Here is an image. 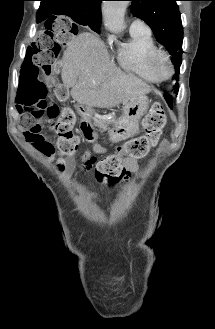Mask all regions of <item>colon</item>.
<instances>
[{
    "label": "colon",
    "instance_id": "obj_1",
    "mask_svg": "<svg viewBox=\"0 0 215 329\" xmlns=\"http://www.w3.org/2000/svg\"><path fill=\"white\" fill-rule=\"evenodd\" d=\"M44 24L36 25V31H32V38L37 39L28 48L27 55L18 56V61L23 62L20 68L22 73H38L22 74V81H17L20 91L18 108L22 119L33 120L32 127H22L35 134L36 146L43 153H51L54 146L41 138L42 127L35 121L43 117L53 121V129L58 137L57 148L61 154L56 167L63 171L67 166L66 159L77 152L80 138L73 131V111L67 107L59 108L49 94V87L52 81H61V74H53V66L62 46L69 43L71 38H77L82 26L73 25V19H67V14H50V19H45ZM165 123L166 114L162 105L153 104L142 122L143 135L126 142L115 153L104 158H86L85 169H92L95 179L101 184L118 182L125 176L122 161L125 158L144 157L159 143Z\"/></svg>",
    "mask_w": 215,
    "mask_h": 329
}]
</instances>
